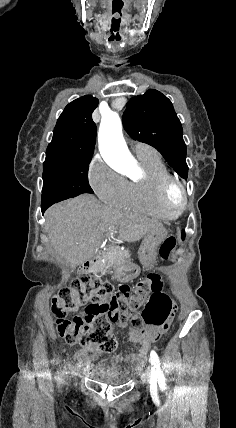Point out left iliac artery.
I'll list each match as a JSON object with an SVG mask.
<instances>
[{
  "label": "left iliac artery",
  "mask_w": 236,
  "mask_h": 428,
  "mask_svg": "<svg viewBox=\"0 0 236 428\" xmlns=\"http://www.w3.org/2000/svg\"><path fill=\"white\" fill-rule=\"evenodd\" d=\"M150 362L153 365V368L151 371V377H154V378L164 377V374L160 369V362H159L158 355L153 350L150 353Z\"/></svg>",
  "instance_id": "left-iliac-artery-1"
}]
</instances>
